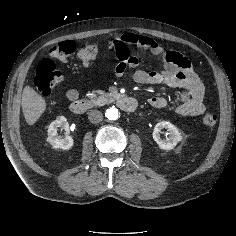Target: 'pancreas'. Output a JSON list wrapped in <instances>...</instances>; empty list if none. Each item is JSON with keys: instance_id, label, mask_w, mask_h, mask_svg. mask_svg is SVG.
<instances>
[{"instance_id": "pancreas-1", "label": "pancreas", "mask_w": 236, "mask_h": 236, "mask_svg": "<svg viewBox=\"0 0 236 236\" xmlns=\"http://www.w3.org/2000/svg\"><path fill=\"white\" fill-rule=\"evenodd\" d=\"M93 105H102L111 102L115 98L113 93H105L102 90L91 91L87 93Z\"/></svg>"}]
</instances>
